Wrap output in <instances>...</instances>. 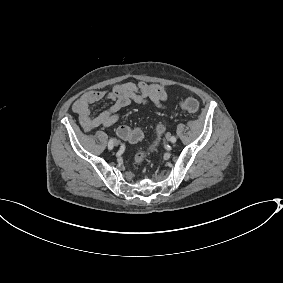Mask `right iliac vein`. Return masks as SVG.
<instances>
[{
  "label": "right iliac vein",
  "mask_w": 283,
  "mask_h": 283,
  "mask_svg": "<svg viewBox=\"0 0 283 283\" xmlns=\"http://www.w3.org/2000/svg\"><path fill=\"white\" fill-rule=\"evenodd\" d=\"M113 144H114L115 146H118V145H119V141H118L117 139H115V140L113 141Z\"/></svg>",
  "instance_id": "obj_1"
}]
</instances>
